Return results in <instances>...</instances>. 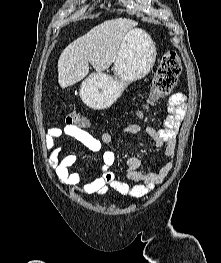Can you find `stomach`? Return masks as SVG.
Returning a JSON list of instances; mask_svg holds the SVG:
<instances>
[{
    "instance_id": "0dacf381",
    "label": "stomach",
    "mask_w": 221,
    "mask_h": 263,
    "mask_svg": "<svg viewBox=\"0 0 221 263\" xmlns=\"http://www.w3.org/2000/svg\"><path fill=\"white\" fill-rule=\"evenodd\" d=\"M156 54L155 44L147 33L141 29L129 31L117 52L114 76L102 72L89 75L80 86L83 102L94 110L109 108L130 83L151 71Z\"/></svg>"
}]
</instances>
